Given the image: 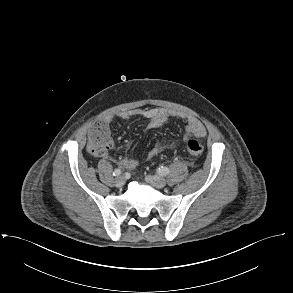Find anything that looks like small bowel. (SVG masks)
Listing matches in <instances>:
<instances>
[{
  "label": "small bowel",
  "mask_w": 293,
  "mask_h": 293,
  "mask_svg": "<svg viewBox=\"0 0 293 293\" xmlns=\"http://www.w3.org/2000/svg\"><path fill=\"white\" fill-rule=\"evenodd\" d=\"M133 117H141L148 121V129H156L161 127L168 119L178 118L186 123L187 136H195L204 138L206 136V130L204 125L197 118L187 115L185 113L176 112L164 108H136L130 110L120 111L114 114H108L103 117L102 121L105 124H111L116 118L122 120H128ZM161 151V147L155 146L147 153V158L152 159L157 156ZM103 156H108L106 153ZM120 165L126 169H134L137 165V161L132 158H123L119 161Z\"/></svg>",
  "instance_id": "1"
}]
</instances>
